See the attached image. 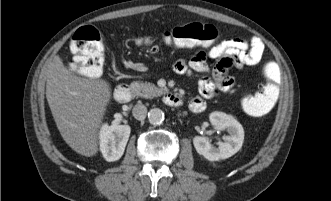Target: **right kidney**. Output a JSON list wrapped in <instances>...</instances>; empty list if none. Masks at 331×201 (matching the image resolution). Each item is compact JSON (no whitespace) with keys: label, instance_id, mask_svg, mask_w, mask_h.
Returning a JSON list of instances; mask_svg holds the SVG:
<instances>
[{"label":"right kidney","instance_id":"ca27d5eb","mask_svg":"<svg viewBox=\"0 0 331 201\" xmlns=\"http://www.w3.org/2000/svg\"><path fill=\"white\" fill-rule=\"evenodd\" d=\"M130 136V126L104 124L100 130V151L108 161H116L124 153L126 144Z\"/></svg>","mask_w":331,"mask_h":201}]
</instances>
